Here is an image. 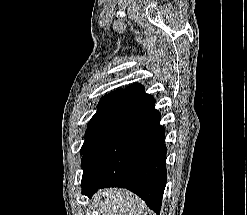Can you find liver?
I'll return each instance as SVG.
<instances>
[{
    "mask_svg": "<svg viewBox=\"0 0 247 215\" xmlns=\"http://www.w3.org/2000/svg\"><path fill=\"white\" fill-rule=\"evenodd\" d=\"M94 202L103 215H145L147 209L137 196L121 189L100 190L95 194Z\"/></svg>",
    "mask_w": 247,
    "mask_h": 215,
    "instance_id": "1",
    "label": "liver"
}]
</instances>
